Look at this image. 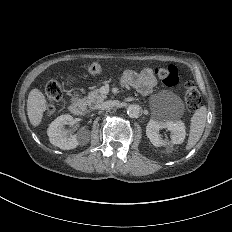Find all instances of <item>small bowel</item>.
Here are the masks:
<instances>
[{
    "label": "small bowel",
    "instance_id": "small-bowel-1",
    "mask_svg": "<svg viewBox=\"0 0 232 232\" xmlns=\"http://www.w3.org/2000/svg\"><path fill=\"white\" fill-rule=\"evenodd\" d=\"M123 77L144 96L150 95L160 87V82L151 68L142 72L126 70Z\"/></svg>",
    "mask_w": 232,
    "mask_h": 232
}]
</instances>
